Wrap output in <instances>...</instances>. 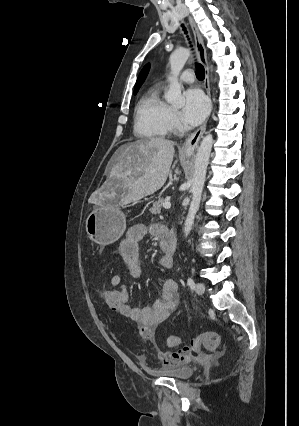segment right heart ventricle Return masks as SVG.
<instances>
[{
	"label": "right heart ventricle",
	"mask_w": 299,
	"mask_h": 426,
	"mask_svg": "<svg viewBox=\"0 0 299 426\" xmlns=\"http://www.w3.org/2000/svg\"><path fill=\"white\" fill-rule=\"evenodd\" d=\"M171 108L161 98L158 86L149 89L139 100L134 130L141 138L159 139L167 135L170 130L169 116Z\"/></svg>",
	"instance_id": "right-heart-ventricle-1"
}]
</instances>
